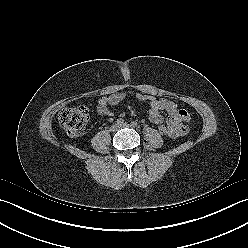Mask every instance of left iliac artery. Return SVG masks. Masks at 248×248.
I'll list each match as a JSON object with an SVG mask.
<instances>
[{"instance_id":"44dca946","label":"left iliac artery","mask_w":248,"mask_h":248,"mask_svg":"<svg viewBox=\"0 0 248 248\" xmlns=\"http://www.w3.org/2000/svg\"><path fill=\"white\" fill-rule=\"evenodd\" d=\"M131 125H132L133 127H136V126H137V122H136V121H133V122H131Z\"/></svg>"}]
</instances>
